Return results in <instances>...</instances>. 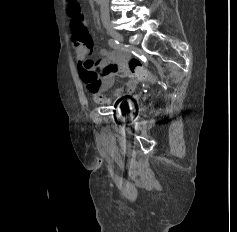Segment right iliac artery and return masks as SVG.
Listing matches in <instances>:
<instances>
[{"instance_id": "obj_1", "label": "right iliac artery", "mask_w": 237, "mask_h": 232, "mask_svg": "<svg viewBox=\"0 0 237 232\" xmlns=\"http://www.w3.org/2000/svg\"><path fill=\"white\" fill-rule=\"evenodd\" d=\"M108 44L113 49H118L120 47L119 42L115 39H109Z\"/></svg>"}]
</instances>
